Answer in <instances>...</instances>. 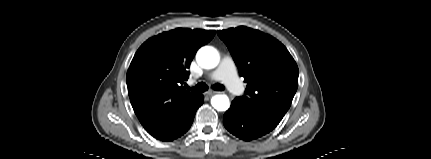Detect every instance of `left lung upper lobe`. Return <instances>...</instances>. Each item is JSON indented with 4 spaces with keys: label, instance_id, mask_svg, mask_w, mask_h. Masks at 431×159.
<instances>
[{
    "label": "left lung upper lobe",
    "instance_id": "obj_1",
    "mask_svg": "<svg viewBox=\"0 0 431 159\" xmlns=\"http://www.w3.org/2000/svg\"><path fill=\"white\" fill-rule=\"evenodd\" d=\"M247 83L237 97L246 107L282 119L298 88L299 70L285 46L261 31L240 26L218 30Z\"/></svg>",
    "mask_w": 431,
    "mask_h": 159
}]
</instances>
